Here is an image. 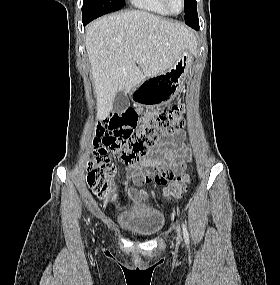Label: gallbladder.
<instances>
[{"instance_id":"obj_1","label":"gallbladder","mask_w":280,"mask_h":285,"mask_svg":"<svg viewBox=\"0 0 280 285\" xmlns=\"http://www.w3.org/2000/svg\"><path fill=\"white\" fill-rule=\"evenodd\" d=\"M130 103L127 96L123 91H118L115 94L114 102H113V111L122 113L129 107Z\"/></svg>"}]
</instances>
